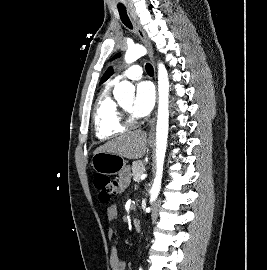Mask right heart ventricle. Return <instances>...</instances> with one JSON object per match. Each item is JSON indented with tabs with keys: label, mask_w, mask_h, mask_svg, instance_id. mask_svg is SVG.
Returning <instances> with one entry per match:
<instances>
[{
	"label": "right heart ventricle",
	"mask_w": 267,
	"mask_h": 270,
	"mask_svg": "<svg viewBox=\"0 0 267 270\" xmlns=\"http://www.w3.org/2000/svg\"><path fill=\"white\" fill-rule=\"evenodd\" d=\"M115 81L109 82L98 95L94 107V129L100 140H107L122 134L127 127L119 118V104L111 95Z\"/></svg>",
	"instance_id": "right-heart-ventricle-1"
}]
</instances>
